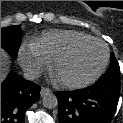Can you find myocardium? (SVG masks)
Wrapping results in <instances>:
<instances>
[{"label": "myocardium", "mask_w": 123, "mask_h": 123, "mask_svg": "<svg viewBox=\"0 0 123 123\" xmlns=\"http://www.w3.org/2000/svg\"><path fill=\"white\" fill-rule=\"evenodd\" d=\"M89 43H99L104 47L105 56H104V60L101 64V66L99 67V69L91 77H89L85 80H82V81H66V80L60 79L57 76V70H58L59 65L63 61L68 59L70 56H72L79 48H81L82 46L89 44ZM109 58H110V52H109V48L106 45V43L100 39H97V38H89V39L81 40V41H78V42L72 44L71 46L66 48L63 52H61L58 56H56L52 63V72H53L57 82L62 87L68 88V89H80V88H84V87H87V86L93 84L95 81H97L99 79V77L103 74V72L105 71V69L108 65Z\"/></svg>", "instance_id": "1"}]
</instances>
